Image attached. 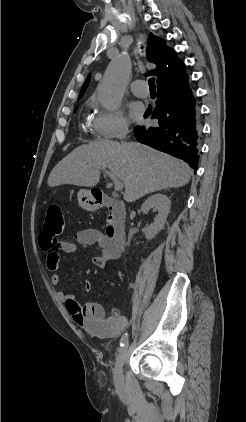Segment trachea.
<instances>
[{
  "label": "trachea",
  "instance_id": "trachea-1",
  "mask_svg": "<svg viewBox=\"0 0 246 422\" xmlns=\"http://www.w3.org/2000/svg\"><path fill=\"white\" fill-rule=\"evenodd\" d=\"M148 83H149V88H150V90H156V86H155V78H154V77H151V78L148 80Z\"/></svg>",
  "mask_w": 246,
  "mask_h": 422
}]
</instances>
